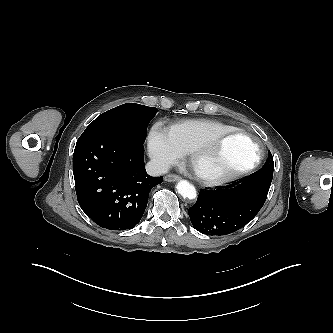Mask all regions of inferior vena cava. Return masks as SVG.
<instances>
[{
	"label": "inferior vena cava",
	"instance_id": "1",
	"mask_svg": "<svg viewBox=\"0 0 333 333\" xmlns=\"http://www.w3.org/2000/svg\"><path fill=\"white\" fill-rule=\"evenodd\" d=\"M170 164L159 158H152L146 165L147 173L151 176H159L169 171Z\"/></svg>",
	"mask_w": 333,
	"mask_h": 333
}]
</instances>
